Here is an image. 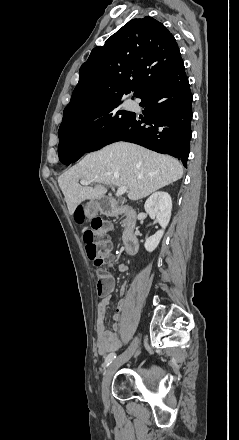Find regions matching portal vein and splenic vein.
I'll return each mask as SVG.
<instances>
[{"label":"portal vein and splenic vein","mask_w":239,"mask_h":440,"mask_svg":"<svg viewBox=\"0 0 239 440\" xmlns=\"http://www.w3.org/2000/svg\"><path fill=\"white\" fill-rule=\"evenodd\" d=\"M80 184H82V186H89L91 182H89V180H81ZM112 192H115L114 188H112ZM125 192H127L126 186H121V188H118L115 196H122V194H125Z\"/></svg>","instance_id":"portal-vein-and-splenic-vein-1"}]
</instances>
